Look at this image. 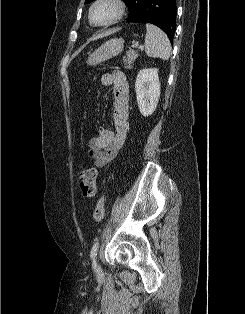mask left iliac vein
<instances>
[{
    "mask_svg": "<svg viewBox=\"0 0 245 314\" xmlns=\"http://www.w3.org/2000/svg\"><path fill=\"white\" fill-rule=\"evenodd\" d=\"M95 271L97 273H100L101 272V266L98 264V263H95Z\"/></svg>",
    "mask_w": 245,
    "mask_h": 314,
    "instance_id": "obj_1",
    "label": "left iliac vein"
}]
</instances>
